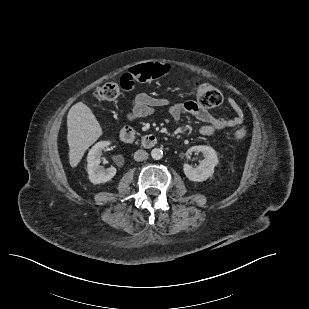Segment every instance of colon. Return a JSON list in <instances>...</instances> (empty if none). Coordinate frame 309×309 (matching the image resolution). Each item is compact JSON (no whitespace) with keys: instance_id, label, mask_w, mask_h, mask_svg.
<instances>
[{"instance_id":"obj_1","label":"colon","mask_w":309,"mask_h":309,"mask_svg":"<svg viewBox=\"0 0 309 309\" xmlns=\"http://www.w3.org/2000/svg\"><path fill=\"white\" fill-rule=\"evenodd\" d=\"M167 64L148 63L137 66L125 74H123L119 82H108L95 90L92 98L97 101H113L115 100L122 89L126 90L127 85L133 86L134 82H150L164 76L169 71ZM196 97L200 105L204 107H216L223 101L221 92L214 86L197 82ZM246 136V130L241 128L235 131L233 138L241 140Z\"/></svg>"}]
</instances>
